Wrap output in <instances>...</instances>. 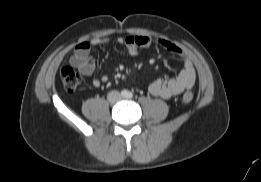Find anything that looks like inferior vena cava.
<instances>
[{
    "instance_id": "inferior-vena-cava-1",
    "label": "inferior vena cava",
    "mask_w": 261,
    "mask_h": 182,
    "mask_svg": "<svg viewBox=\"0 0 261 182\" xmlns=\"http://www.w3.org/2000/svg\"><path fill=\"white\" fill-rule=\"evenodd\" d=\"M107 99L110 102H116L121 99V94L118 91H112L108 94Z\"/></svg>"
}]
</instances>
